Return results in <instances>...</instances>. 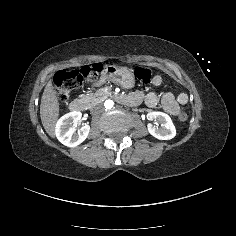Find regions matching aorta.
Segmentation results:
<instances>
[{"label": "aorta", "instance_id": "aorta-1", "mask_svg": "<svg viewBox=\"0 0 236 236\" xmlns=\"http://www.w3.org/2000/svg\"><path fill=\"white\" fill-rule=\"evenodd\" d=\"M104 106H105L106 109L113 108V106H114L113 100H106L105 103H104Z\"/></svg>", "mask_w": 236, "mask_h": 236}]
</instances>
